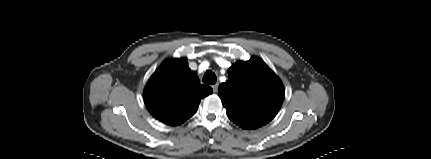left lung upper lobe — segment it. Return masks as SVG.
Masks as SVG:
<instances>
[{
  "instance_id": "obj_1",
  "label": "left lung upper lobe",
  "mask_w": 431,
  "mask_h": 159,
  "mask_svg": "<svg viewBox=\"0 0 431 159\" xmlns=\"http://www.w3.org/2000/svg\"><path fill=\"white\" fill-rule=\"evenodd\" d=\"M218 95L231 121L244 129H255L278 113L284 88L263 60L252 57L228 69V80L219 86Z\"/></svg>"
}]
</instances>
